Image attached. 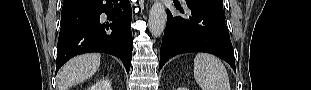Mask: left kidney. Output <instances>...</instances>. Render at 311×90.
Returning a JSON list of instances; mask_svg holds the SVG:
<instances>
[{
	"instance_id": "left-kidney-1",
	"label": "left kidney",
	"mask_w": 311,
	"mask_h": 90,
	"mask_svg": "<svg viewBox=\"0 0 311 90\" xmlns=\"http://www.w3.org/2000/svg\"><path fill=\"white\" fill-rule=\"evenodd\" d=\"M178 90H187V88L180 87V88H178Z\"/></svg>"
}]
</instances>
